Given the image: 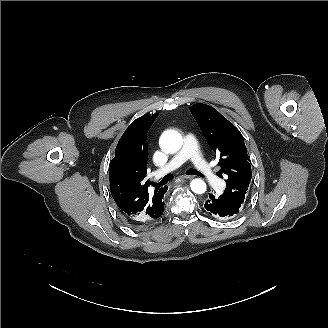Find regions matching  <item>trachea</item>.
Instances as JSON below:
<instances>
[{
	"instance_id": "trachea-1",
	"label": "trachea",
	"mask_w": 328,
	"mask_h": 328,
	"mask_svg": "<svg viewBox=\"0 0 328 328\" xmlns=\"http://www.w3.org/2000/svg\"><path fill=\"white\" fill-rule=\"evenodd\" d=\"M186 174L188 175H197V176H201V173L194 170V169H188L185 171ZM173 179V174H167L166 176L163 177V179L157 183V184H153L156 188H159L162 185H165L167 182H169L170 180Z\"/></svg>"
}]
</instances>
